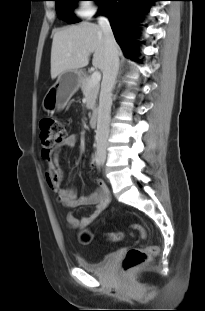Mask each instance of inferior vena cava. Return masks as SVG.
I'll return each instance as SVG.
<instances>
[{"mask_svg": "<svg viewBox=\"0 0 205 311\" xmlns=\"http://www.w3.org/2000/svg\"><path fill=\"white\" fill-rule=\"evenodd\" d=\"M98 24L105 37V67L99 97L96 144L97 149L106 151L110 132V112L112 105V91L116 83L119 70L118 45L115 41L110 22L107 17L100 16Z\"/></svg>", "mask_w": 205, "mask_h": 311, "instance_id": "602c4592", "label": "inferior vena cava"}]
</instances>
